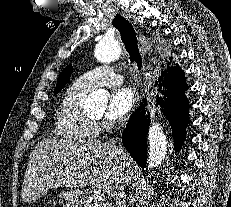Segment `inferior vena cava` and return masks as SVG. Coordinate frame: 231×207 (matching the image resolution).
<instances>
[{
  "label": "inferior vena cava",
  "mask_w": 231,
  "mask_h": 207,
  "mask_svg": "<svg viewBox=\"0 0 231 207\" xmlns=\"http://www.w3.org/2000/svg\"><path fill=\"white\" fill-rule=\"evenodd\" d=\"M117 139H111L108 144L112 147L115 154L118 155L119 161H120V171H122V168L126 166V153L123 148L118 147L116 145ZM116 198V207H126V192H125V185L121 182L119 185V188L115 194Z\"/></svg>",
  "instance_id": "1"
}]
</instances>
